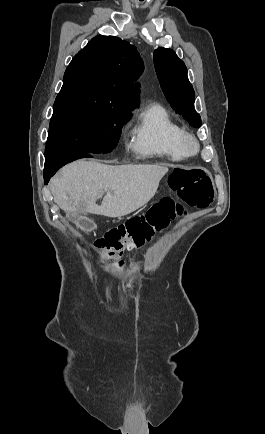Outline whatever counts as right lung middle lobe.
Here are the masks:
<instances>
[{
  "label": "right lung middle lobe",
  "instance_id": "right-lung-middle-lobe-1",
  "mask_svg": "<svg viewBox=\"0 0 265 434\" xmlns=\"http://www.w3.org/2000/svg\"><path fill=\"white\" fill-rule=\"evenodd\" d=\"M136 106L95 86L63 85L54 103L46 160L110 152Z\"/></svg>",
  "mask_w": 265,
  "mask_h": 434
}]
</instances>
